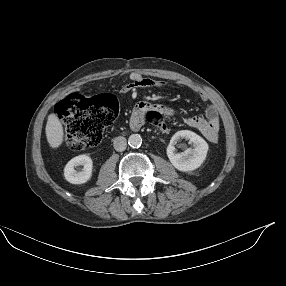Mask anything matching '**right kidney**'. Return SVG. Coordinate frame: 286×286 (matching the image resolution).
Returning a JSON list of instances; mask_svg holds the SVG:
<instances>
[{
  "label": "right kidney",
  "instance_id": "obj_1",
  "mask_svg": "<svg viewBox=\"0 0 286 286\" xmlns=\"http://www.w3.org/2000/svg\"><path fill=\"white\" fill-rule=\"evenodd\" d=\"M83 166L82 171L75 168ZM93 162L87 155H79L71 159L64 168L65 179L72 184L86 183L92 176Z\"/></svg>",
  "mask_w": 286,
  "mask_h": 286
}]
</instances>
